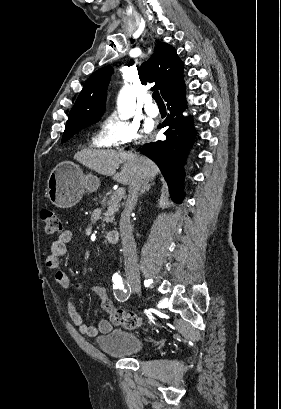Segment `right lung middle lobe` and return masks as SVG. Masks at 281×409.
Returning a JSON list of instances; mask_svg holds the SVG:
<instances>
[{
	"instance_id": "obj_1",
	"label": "right lung middle lobe",
	"mask_w": 281,
	"mask_h": 409,
	"mask_svg": "<svg viewBox=\"0 0 281 409\" xmlns=\"http://www.w3.org/2000/svg\"><path fill=\"white\" fill-rule=\"evenodd\" d=\"M93 123H95V122H93ZM93 123L83 125V126H79V127H66V129H65V131L63 133L62 143H64L68 139H70L74 134H76L81 129H83V128L89 126V125H92Z\"/></svg>"
}]
</instances>
